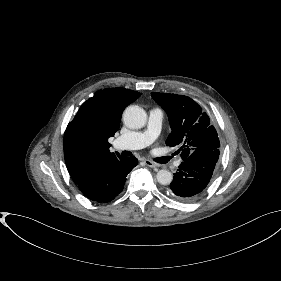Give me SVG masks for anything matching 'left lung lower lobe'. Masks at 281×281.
Here are the masks:
<instances>
[{
	"label": "left lung lower lobe",
	"mask_w": 281,
	"mask_h": 281,
	"mask_svg": "<svg viewBox=\"0 0 281 281\" xmlns=\"http://www.w3.org/2000/svg\"><path fill=\"white\" fill-rule=\"evenodd\" d=\"M218 159L219 149L196 150L183 159L170 184L173 195L181 201H192L200 196L213 176Z\"/></svg>",
	"instance_id": "1"
}]
</instances>
